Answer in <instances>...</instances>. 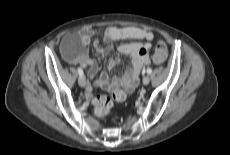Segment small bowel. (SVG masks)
Wrapping results in <instances>:
<instances>
[{"label":"small bowel","mask_w":230,"mask_h":155,"mask_svg":"<svg viewBox=\"0 0 230 155\" xmlns=\"http://www.w3.org/2000/svg\"><path fill=\"white\" fill-rule=\"evenodd\" d=\"M98 34L99 32L96 30H81L67 36L61 44V52L64 58L72 64H77L84 68L88 67L90 77H94L98 73L99 63L97 60L89 58L87 53L88 45L92 44L99 57L103 58L111 50L113 42L125 40L146 41V43L128 42L120 44L118 51L121 54L130 56V63L126 67L123 76L120 78L114 77L111 80L108 78L107 71L113 69L119 63V58L114 56L109 60L106 70L94 82V86L112 91L113 94L117 95L118 102H122L126 99L127 94L135 89L142 68L151 62L149 43L153 40L154 35L152 32L138 27L112 26L101 32L102 40L106 44L105 47H102L96 38ZM75 39H80L81 41V50L79 52L71 46L72 41ZM92 95L93 87L89 85L86 88L85 96L88 100H91Z\"/></svg>","instance_id":"1"}]
</instances>
